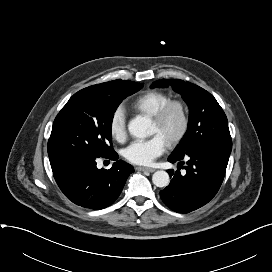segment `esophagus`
Returning a JSON list of instances; mask_svg holds the SVG:
<instances>
[{
    "instance_id": "34e87169",
    "label": "esophagus",
    "mask_w": 272,
    "mask_h": 272,
    "mask_svg": "<svg viewBox=\"0 0 272 272\" xmlns=\"http://www.w3.org/2000/svg\"><path fill=\"white\" fill-rule=\"evenodd\" d=\"M136 170H138V171H147V172H154L155 171V169H153V168L141 167V166L136 167Z\"/></svg>"
}]
</instances>
